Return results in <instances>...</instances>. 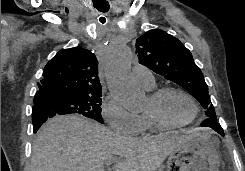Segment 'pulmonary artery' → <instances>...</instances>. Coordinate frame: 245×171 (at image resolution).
<instances>
[{"label": "pulmonary artery", "instance_id": "pulmonary-artery-1", "mask_svg": "<svg viewBox=\"0 0 245 171\" xmlns=\"http://www.w3.org/2000/svg\"><path fill=\"white\" fill-rule=\"evenodd\" d=\"M133 80L144 88L155 86V79L152 71L145 66L136 65L132 68Z\"/></svg>", "mask_w": 245, "mask_h": 171}]
</instances>
